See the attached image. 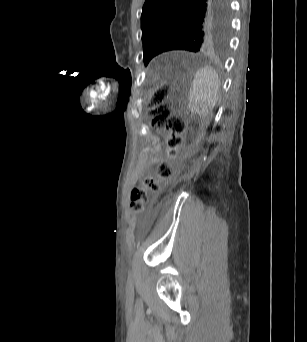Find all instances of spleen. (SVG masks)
<instances>
[{
  "label": "spleen",
  "instance_id": "1",
  "mask_svg": "<svg viewBox=\"0 0 307 342\" xmlns=\"http://www.w3.org/2000/svg\"><path fill=\"white\" fill-rule=\"evenodd\" d=\"M220 80L212 66L197 70L189 92L186 109L192 114H212L219 96Z\"/></svg>",
  "mask_w": 307,
  "mask_h": 342
}]
</instances>
